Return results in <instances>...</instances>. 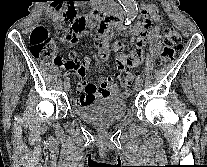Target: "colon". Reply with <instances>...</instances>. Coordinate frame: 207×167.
<instances>
[{"label": "colon", "mask_w": 207, "mask_h": 167, "mask_svg": "<svg viewBox=\"0 0 207 167\" xmlns=\"http://www.w3.org/2000/svg\"><path fill=\"white\" fill-rule=\"evenodd\" d=\"M59 4L49 10V17L55 23L57 36L60 40L72 42L76 32L83 26L84 19L75 20V13L72 7L62 9ZM165 46L159 58V64L165 65L171 62L175 56V50L181 46L179 33L174 29H169L165 33ZM30 54L33 58L41 60L46 65L58 66L62 59L56 53L52 38L46 27L36 26L30 35ZM69 66H79L81 61L75 52L70 53V60L66 63ZM134 81L133 75L120 67L119 86L128 90Z\"/></svg>", "instance_id": "colon-1"}]
</instances>
